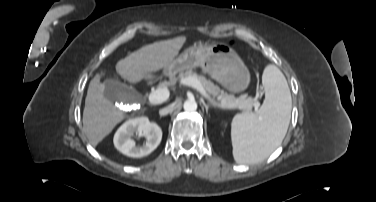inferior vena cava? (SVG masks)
<instances>
[{"label":"inferior vena cava","mask_w":376,"mask_h":202,"mask_svg":"<svg viewBox=\"0 0 376 202\" xmlns=\"http://www.w3.org/2000/svg\"><path fill=\"white\" fill-rule=\"evenodd\" d=\"M172 109H173V106H172V105H169V106H167V107H164V108L160 109V110H159V114H160L161 116H165V115H167L168 113H170V112L172 111Z\"/></svg>","instance_id":"602c4592"}]
</instances>
